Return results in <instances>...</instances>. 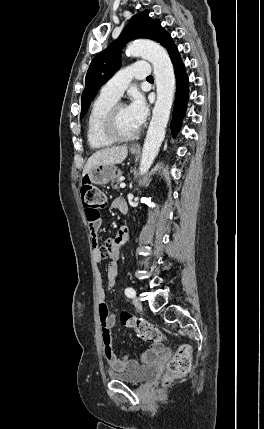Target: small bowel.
I'll list each match as a JSON object with an SVG mask.
<instances>
[{"label": "small bowel", "instance_id": "c3829d8e", "mask_svg": "<svg viewBox=\"0 0 264 429\" xmlns=\"http://www.w3.org/2000/svg\"><path fill=\"white\" fill-rule=\"evenodd\" d=\"M123 202L125 201L122 198H116L113 200L111 206L114 209H119V205ZM100 225V220L94 223H89V232L93 247L92 255L97 263H99L106 256L110 258L106 275L107 287L113 288L116 284V279L118 276L119 247L127 242L129 238V229L126 227L121 228L115 237L106 239L104 244L100 246L98 237ZM97 294L99 303V317L102 329L103 349L105 357L112 369L114 371L124 372L134 370L138 368L140 364L154 363L158 359L159 355L163 352V346L161 344H152L137 359L130 358L118 352L114 348L111 331L116 325V317L109 311L106 304L105 286L100 270L97 271Z\"/></svg>", "mask_w": 264, "mask_h": 429}]
</instances>
